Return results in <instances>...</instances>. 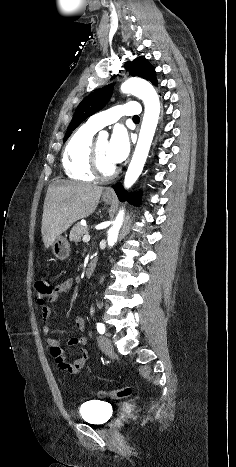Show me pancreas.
Instances as JSON below:
<instances>
[{
    "instance_id": "cf45deb5",
    "label": "pancreas",
    "mask_w": 236,
    "mask_h": 467,
    "mask_svg": "<svg viewBox=\"0 0 236 467\" xmlns=\"http://www.w3.org/2000/svg\"><path fill=\"white\" fill-rule=\"evenodd\" d=\"M87 233L88 230L78 223L70 231V241L79 242L81 237Z\"/></svg>"
}]
</instances>
